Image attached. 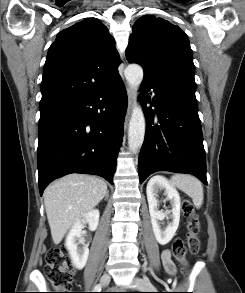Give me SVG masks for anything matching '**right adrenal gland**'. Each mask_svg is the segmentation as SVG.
<instances>
[{"mask_svg":"<svg viewBox=\"0 0 245 293\" xmlns=\"http://www.w3.org/2000/svg\"><path fill=\"white\" fill-rule=\"evenodd\" d=\"M108 197H109V194H108V192H107L105 200H108Z\"/></svg>","mask_w":245,"mask_h":293,"instance_id":"right-adrenal-gland-1","label":"right adrenal gland"}]
</instances>
